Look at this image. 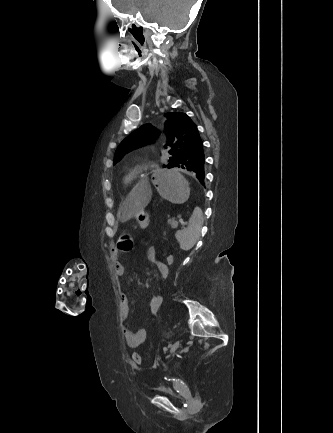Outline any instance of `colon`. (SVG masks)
Segmentation results:
<instances>
[{"label":"colon","mask_w":333,"mask_h":433,"mask_svg":"<svg viewBox=\"0 0 333 433\" xmlns=\"http://www.w3.org/2000/svg\"><path fill=\"white\" fill-rule=\"evenodd\" d=\"M117 244L121 247L122 250H130L133 247V241L128 236H118L116 239ZM165 265L168 268L173 267L174 262L171 254H168L164 258ZM149 306L151 309L149 310V315L152 316V318H157V313H159L160 308H162L163 303L160 301V299L157 296H154L150 300ZM132 361L139 365L141 363V356L139 353H133L132 354Z\"/></svg>","instance_id":"1"}]
</instances>
